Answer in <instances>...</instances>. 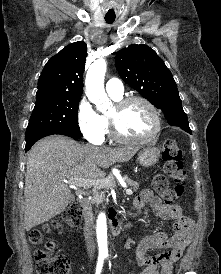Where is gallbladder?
Returning a JSON list of instances; mask_svg holds the SVG:
<instances>
[{
    "label": "gallbladder",
    "instance_id": "obj_1",
    "mask_svg": "<svg viewBox=\"0 0 221 274\" xmlns=\"http://www.w3.org/2000/svg\"><path fill=\"white\" fill-rule=\"evenodd\" d=\"M74 200V198L72 197L71 199H70V201H73Z\"/></svg>",
    "mask_w": 221,
    "mask_h": 274
}]
</instances>
